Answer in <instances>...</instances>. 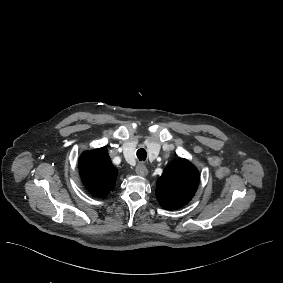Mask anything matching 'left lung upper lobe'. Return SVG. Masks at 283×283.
I'll use <instances>...</instances> for the list:
<instances>
[{
    "label": "left lung upper lobe",
    "instance_id": "1",
    "mask_svg": "<svg viewBox=\"0 0 283 283\" xmlns=\"http://www.w3.org/2000/svg\"><path fill=\"white\" fill-rule=\"evenodd\" d=\"M199 184L198 170L186 159H174L158 178L156 196L165 209H176L187 204Z\"/></svg>",
    "mask_w": 283,
    "mask_h": 283
}]
</instances>
